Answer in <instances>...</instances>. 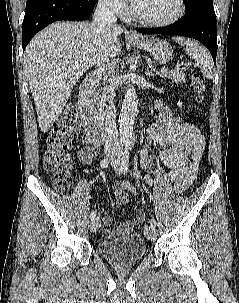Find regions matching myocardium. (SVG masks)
I'll use <instances>...</instances> for the list:
<instances>
[{
    "label": "myocardium",
    "mask_w": 239,
    "mask_h": 303,
    "mask_svg": "<svg viewBox=\"0 0 239 303\" xmlns=\"http://www.w3.org/2000/svg\"><path fill=\"white\" fill-rule=\"evenodd\" d=\"M177 3H178L177 12L174 15H172L171 17L166 18V19L152 20V19L144 18L137 13L134 6L132 7L131 15L134 20H136L137 22H139L143 25H146V26H152V27L169 26V25H172V24L178 22L185 15V12H186L185 0H177Z\"/></svg>",
    "instance_id": "myocardium-1"
}]
</instances>
